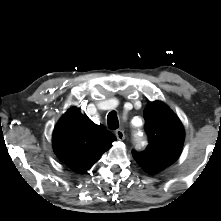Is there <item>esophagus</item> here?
<instances>
[{
    "instance_id": "obj_1",
    "label": "esophagus",
    "mask_w": 221,
    "mask_h": 221,
    "mask_svg": "<svg viewBox=\"0 0 221 221\" xmlns=\"http://www.w3.org/2000/svg\"><path fill=\"white\" fill-rule=\"evenodd\" d=\"M115 135H116L118 140H124L125 139L124 131L121 130V129L116 130Z\"/></svg>"
}]
</instances>
